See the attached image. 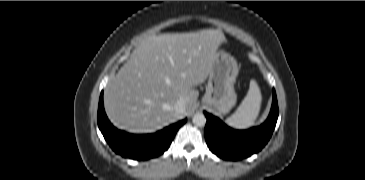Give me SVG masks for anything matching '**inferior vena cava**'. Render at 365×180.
<instances>
[{"label": "inferior vena cava", "mask_w": 365, "mask_h": 180, "mask_svg": "<svg viewBox=\"0 0 365 180\" xmlns=\"http://www.w3.org/2000/svg\"><path fill=\"white\" fill-rule=\"evenodd\" d=\"M174 110L178 114H183L185 112V101L183 99H179L174 106Z\"/></svg>", "instance_id": "inferior-vena-cava-1"}]
</instances>
